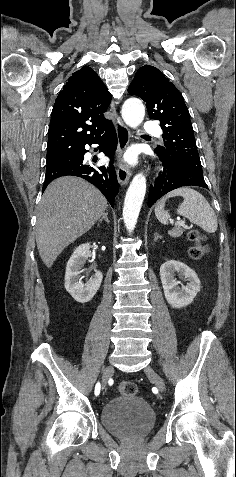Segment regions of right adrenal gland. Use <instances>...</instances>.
Returning <instances> with one entry per match:
<instances>
[{
	"label": "right adrenal gland",
	"mask_w": 236,
	"mask_h": 477,
	"mask_svg": "<svg viewBox=\"0 0 236 477\" xmlns=\"http://www.w3.org/2000/svg\"><path fill=\"white\" fill-rule=\"evenodd\" d=\"M108 212H105L102 216V218L99 219V223H101L103 220H105L108 224L110 223L109 219H108Z\"/></svg>",
	"instance_id": "obj_1"
}]
</instances>
